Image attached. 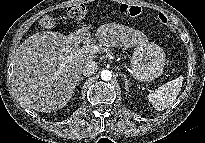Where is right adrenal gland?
I'll return each instance as SVG.
<instances>
[{"label": "right adrenal gland", "instance_id": "obj_1", "mask_svg": "<svg viewBox=\"0 0 205 143\" xmlns=\"http://www.w3.org/2000/svg\"><path fill=\"white\" fill-rule=\"evenodd\" d=\"M85 80L84 77L79 78L78 82L76 83V86H78L80 84L81 81Z\"/></svg>", "mask_w": 205, "mask_h": 143}]
</instances>
